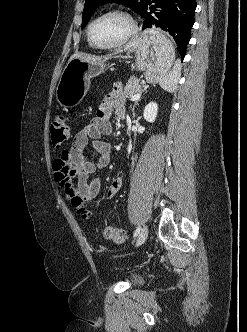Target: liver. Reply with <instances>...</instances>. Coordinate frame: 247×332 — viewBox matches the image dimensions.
<instances>
[{"label":"liver","instance_id":"1","mask_svg":"<svg viewBox=\"0 0 247 332\" xmlns=\"http://www.w3.org/2000/svg\"><path fill=\"white\" fill-rule=\"evenodd\" d=\"M73 58H79L88 62H101L105 61L106 57H95L88 54L76 53L71 56L70 60Z\"/></svg>","mask_w":247,"mask_h":332}]
</instances>
